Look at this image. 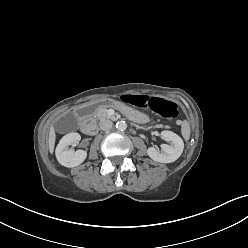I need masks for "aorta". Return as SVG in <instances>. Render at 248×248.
<instances>
[{
	"instance_id": "1",
	"label": "aorta",
	"mask_w": 248,
	"mask_h": 248,
	"mask_svg": "<svg viewBox=\"0 0 248 248\" xmlns=\"http://www.w3.org/2000/svg\"><path fill=\"white\" fill-rule=\"evenodd\" d=\"M116 128H117L118 130H120V131H124V130H126V128H127V124H126L125 121H118V122L116 123Z\"/></svg>"
}]
</instances>
